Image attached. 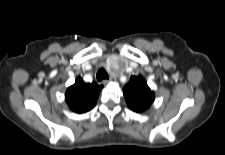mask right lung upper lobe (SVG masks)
<instances>
[{
	"label": "right lung upper lobe",
	"instance_id": "cb5924a9",
	"mask_svg": "<svg viewBox=\"0 0 225 155\" xmlns=\"http://www.w3.org/2000/svg\"><path fill=\"white\" fill-rule=\"evenodd\" d=\"M102 88L96 82L85 83L81 77H78L75 84L66 91V102L73 112L85 113L95 106Z\"/></svg>",
	"mask_w": 225,
	"mask_h": 155
}]
</instances>
